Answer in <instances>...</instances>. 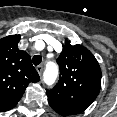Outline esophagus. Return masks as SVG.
Returning <instances> with one entry per match:
<instances>
[{
  "label": "esophagus",
  "mask_w": 117,
  "mask_h": 117,
  "mask_svg": "<svg viewBox=\"0 0 117 117\" xmlns=\"http://www.w3.org/2000/svg\"><path fill=\"white\" fill-rule=\"evenodd\" d=\"M36 70H37V72L39 73V75H41L42 72H43V66H42V65L37 66V67H36Z\"/></svg>",
  "instance_id": "1"
}]
</instances>
